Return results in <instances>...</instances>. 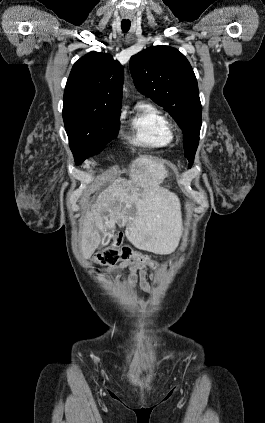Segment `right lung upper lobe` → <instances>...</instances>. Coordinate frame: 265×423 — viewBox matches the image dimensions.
<instances>
[{
    "instance_id": "obj_1",
    "label": "right lung upper lobe",
    "mask_w": 265,
    "mask_h": 423,
    "mask_svg": "<svg viewBox=\"0 0 265 423\" xmlns=\"http://www.w3.org/2000/svg\"><path fill=\"white\" fill-rule=\"evenodd\" d=\"M123 80V67L110 54L90 52L72 67L64 91V106L120 113Z\"/></svg>"
}]
</instances>
